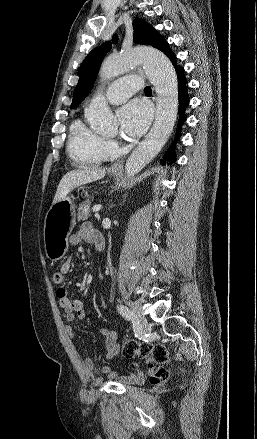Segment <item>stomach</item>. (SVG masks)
Wrapping results in <instances>:
<instances>
[{
    "instance_id": "0dacf381",
    "label": "stomach",
    "mask_w": 257,
    "mask_h": 439,
    "mask_svg": "<svg viewBox=\"0 0 257 439\" xmlns=\"http://www.w3.org/2000/svg\"><path fill=\"white\" fill-rule=\"evenodd\" d=\"M117 176V172H113ZM75 204L71 197H65L59 202L52 204L48 210L44 222V246L46 256L57 261L68 250V236L74 228Z\"/></svg>"
}]
</instances>
